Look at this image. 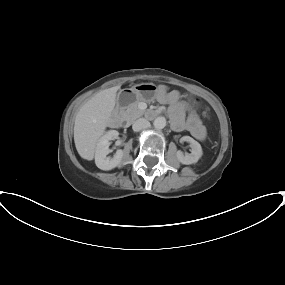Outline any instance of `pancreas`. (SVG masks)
Here are the masks:
<instances>
[{
  "mask_svg": "<svg viewBox=\"0 0 285 285\" xmlns=\"http://www.w3.org/2000/svg\"><path fill=\"white\" fill-rule=\"evenodd\" d=\"M138 104L139 101H135L126 108L124 111L126 120L134 121L145 114L144 110L139 109Z\"/></svg>",
  "mask_w": 285,
  "mask_h": 285,
  "instance_id": "1",
  "label": "pancreas"
}]
</instances>
